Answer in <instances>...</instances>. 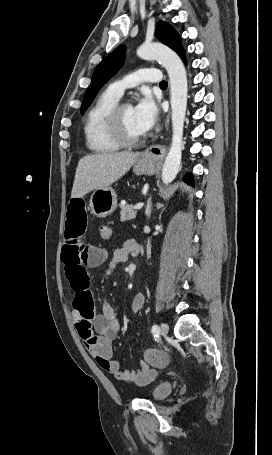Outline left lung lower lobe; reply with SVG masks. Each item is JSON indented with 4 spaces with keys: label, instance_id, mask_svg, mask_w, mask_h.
Wrapping results in <instances>:
<instances>
[{
    "label": "left lung lower lobe",
    "instance_id": "obj_1",
    "mask_svg": "<svg viewBox=\"0 0 272 455\" xmlns=\"http://www.w3.org/2000/svg\"><path fill=\"white\" fill-rule=\"evenodd\" d=\"M182 60L184 61L185 64L186 63V58L184 56H182ZM184 181L189 183L190 185H192V179H191V176L190 175H187L185 178H184Z\"/></svg>",
    "mask_w": 272,
    "mask_h": 455
}]
</instances>
